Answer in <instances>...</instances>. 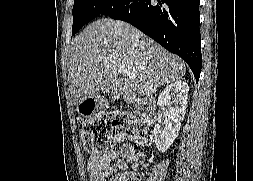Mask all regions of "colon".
Masks as SVG:
<instances>
[{
	"label": "colon",
	"instance_id": "1",
	"mask_svg": "<svg viewBox=\"0 0 253 181\" xmlns=\"http://www.w3.org/2000/svg\"><path fill=\"white\" fill-rule=\"evenodd\" d=\"M125 135L137 140L145 138L143 127L128 119L123 112L100 113L82 127L83 143L92 154L108 150L119 138ZM117 181H136V178L127 174L118 178Z\"/></svg>",
	"mask_w": 253,
	"mask_h": 181
}]
</instances>
